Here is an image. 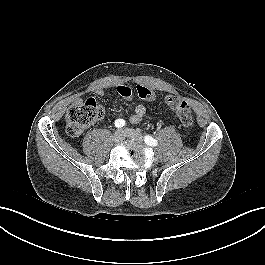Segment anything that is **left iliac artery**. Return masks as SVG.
Returning a JSON list of instances; mask_svg holds the SVG:
<instances>
[{
  "instance_id": "1",
  "label": "left iliac artery",
  "mask_w": 265,
  "mask_h": 265,
  "mask_svg": "<svg viewBox=\"0 0 265 265\" xmlns=\"http://www.w3.org/2000/svg\"><path fill=\"white\" fill-rule=\"evenodd\" d=\"M144 141L147 145H150V146H157L158 145V142L157 140H155L154 138H152L151 136L149 135H146L145 138H144Z\"/></svg>"
}]
</instances>
